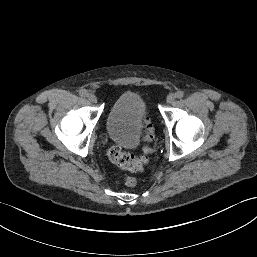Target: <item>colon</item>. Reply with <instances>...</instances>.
I'll return each instance as SVG.
<instances>
[{
    "instance_id": "colon-1",
    "label": "colon",
    "mask_w": 257,
    "mask_h": 257,
    "mask_svg": "<svg viewBox=\"0 0 257 257\" xmlns=\"http://www.w3.org/2000/svg\"><path fill=\"white\" fill-rule=\"evenodd\" d=\"M151 152V148L144 149L145 155ZM109 159L118 167L131 172H137L143 169L146 164V157H137L134 154L123 151L119 146H112L108 150ZM124 184L128 187L136 185V179L131 176H127L124 179Z\"/></svg>"
}]
</instances>
